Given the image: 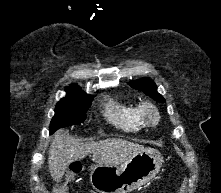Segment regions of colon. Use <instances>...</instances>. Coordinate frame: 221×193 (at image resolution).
<instances>
[{"instance_id":"5ec220e1","label":"colon","mask_w":221,"mask_h":193,"mask_svg":"<svg viewBox=\"0 0 221 193\" xmlns=\"http://www.w3.org/2000/svg\"><path fill=\"white\" fill-rule=\"evenodd\" d=\"M78 170H79L78 166H73V169H72L73 172H77Z\"/></svg>"}]
</instances>
